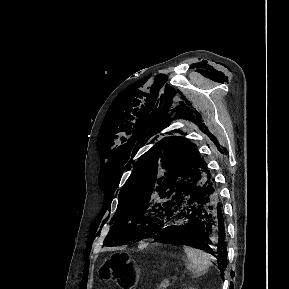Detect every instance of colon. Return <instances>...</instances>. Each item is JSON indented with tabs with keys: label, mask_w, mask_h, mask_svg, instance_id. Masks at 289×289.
Returning a JSON list of instances; mask_svg holds the SVG:
<instances>
[{
	"label": "colon",
	"mask_w": 289,
	"mask_h": 289,
	"mask_svg": "<svg viewBox=\"0 0 289 289\" xmlns=\"http://www.w3.org/2000/svg\"><path fill=\"white\" fill-rule=\"evenodd\" d=\"M99 277L103 281L114 283L121 289H133L137 281V272L120 257L111 256L100 268Z\"/></svg>",
	"instance_id": "5ec220e1"
}]
</instances>
